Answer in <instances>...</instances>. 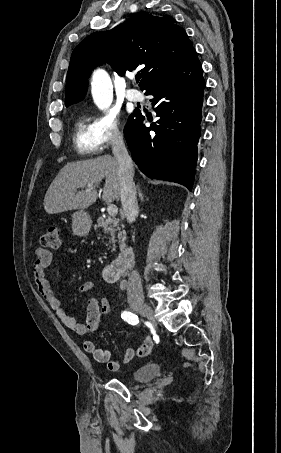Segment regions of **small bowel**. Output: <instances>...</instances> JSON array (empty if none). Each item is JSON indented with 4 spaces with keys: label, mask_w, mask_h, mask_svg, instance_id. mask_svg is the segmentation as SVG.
I'll use <instances>...</instances> for the list:
<instances>
[{
    "label": "small bowel",
    "mask_w": 281,
    "mask_h": 453,
    "mask_svg": "<svg viewBox=\"0 0 281 453\" xmlns=\"http://www.w3.org/2000/svg\"><path fill=\"white\" fill-rule=\"evenodd\" d=\"M52 253L44 247H36L33 251V274L38 292L56 313L60 321L68 328L72 329L79 336H85L90 332L97 331L101 327L103 316L110 310V303L104 296L96 293L98 287L94 282L82 283L79 287L80 293H91L87 306L86 322L82 323L72 317L69 311L63 306L57 295L52 291L49 280L46 276V269L52 262ZM151 340L148 336L144 337V343L135 348L130 346L125 351L121 359H112L110 351L100 348L90 339L82 341L83 349L90 354L96 361L107 363L110 370H119L122 364L129 363L135 354L148 355L151 348Z\"/></svg>",
    "instance_id": "1"
}]
</instances>
